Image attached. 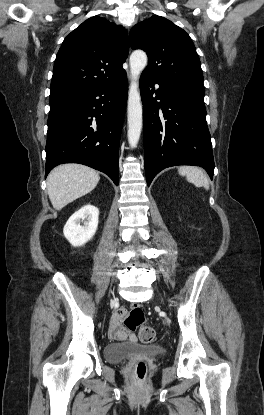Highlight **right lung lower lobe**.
Instances as JSON below:
<instances>
[{"mask_svg": "<svg viewBox=\"0 0 264 415\" xmlns=\"http://www.w3.org/2000/svg\"><path fill=\"white\" fill-rule=\"evenodd\" d=\"M127 76L49 100L45 177L62 163H80L118 185L119 143L127 101Z\"/></svg>", "mask_w": 264, "mask_h": 415, "instance_id": "right-lung-lower-lobe-1", "label": "right lung lower lobe"}]
</instances>
